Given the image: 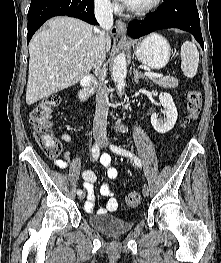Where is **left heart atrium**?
<instances>
[{
	"label": "left heart atrium",
	"mask_w": 221,
	"mask_h": 263,
	"mask_svg": "<svg viewBox=\"0 0 221 263\" xmlns=\"http://www.w3.org/2000/svg\"><path fill=\"white\" fill-rule=\"evenodd\" d=\"M120 1H122V2H123L124 4H126V5H129L132 0H120Z\"/></svg>",
	"instance_id": "obj_1"
}]
</instances>
